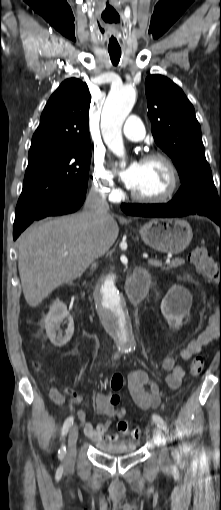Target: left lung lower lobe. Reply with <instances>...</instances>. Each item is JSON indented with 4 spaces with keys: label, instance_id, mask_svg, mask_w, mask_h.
I'll return each instance as SVG.
<instances>
[{
    "label": "left lung lower lobe",
    "instance_id": "0a47b994",
    "mask_svg": "<svg viewBox=\"0 0 221 510\" xmlns=\"http://www.w3.org/2000/svg\"><path fill=\"white\" fill-rule=\"evenodd\" d=\"M122 210L128 215L145 217H182L191 214L204 215L221 227V209L209 208H183L171 204H122Z\"/></svg>",
    "mask_w": 221,
    "mask_h": 510
}]
</instances>
